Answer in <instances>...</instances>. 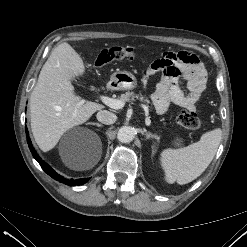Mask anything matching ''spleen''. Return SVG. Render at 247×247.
I'll use <instances>...</instances> for the list:
<instances>
[{
    "label": "spleen",
    "instance_id": "1",
    "mask_svg": "<svg viewBox=\"0 0 247 247\" xmlns=\"http://www.w3.org/2000/svg\"><path fill=\"white\" fill-rule=\"evenodd\" d=\"M222 138V130L216 128L204 133L200 140L187 147L165 149L160 154V163L165 180L172 184H187L199 177L213 160Z\"/></svg>",
    "mask_w": 247,
    "mask_h": 247
}]
</instances>
